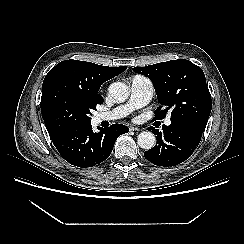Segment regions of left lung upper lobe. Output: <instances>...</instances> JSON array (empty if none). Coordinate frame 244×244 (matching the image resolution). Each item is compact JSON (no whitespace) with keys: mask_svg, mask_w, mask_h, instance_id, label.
Masks as SVG:
<instances>
[{"mask_svg":"<svg viewBox=\"0 0 244 244\" xmlns=\"http://www.w3.org/2000/svg\"><path fill=\"white\" fill-rule=\"evenodd\" d=\"M134 72L153 83L160 107L154 120L169 111L171 122L188 123L204 130L212 108L211 95L202 69L186 59L135 67ZM161 107H166L161 110Z\"/></svg>","mask_w":244,"mask_h":244,"instance_id":"1","label":"left lung upper lobe"}]
</instances>
